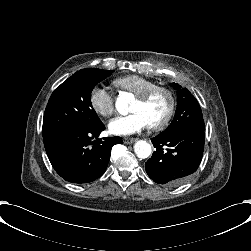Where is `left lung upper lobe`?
Masks as SVG:
<instances>
[{
  "label": "left lung upper lobe",
  "mask_w": 251,
  "mask_h": 251,
  "mask_svg": "<svg viewBox=\"0 0 251 251\" xmlns=\"http://www.w3.org/2000/svg\"><path fill=\"white\" fill-rule=\"evenodd\" d=\"M173 86L178 92V104L175 117L169 127L159 135L164 136L186 128L205 130L202 111L196 98L187 88H182L176 83H173Z\"/></svg>",
  "instance_id": "obj_1"
}]
</instances>
